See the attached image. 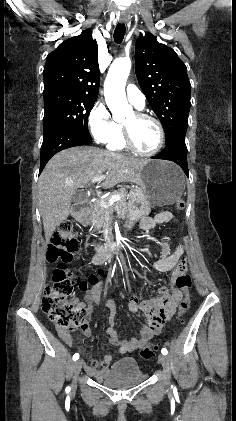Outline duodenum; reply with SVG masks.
Instances as JSON below:
<instances>
[{
	"label": "duodenum",
	"instance_id": "obj_1",
	"mask_svg": "<svg viewBox=\"0 0 236 421\" xmlns=\"http://www.w3.org/2000/svg\"><path fill=\"white\" fill-rule=\"evenodd\" d=\"M89 207H90V201L88 199L82 200V201L75 204V206L73 208V215H74V218L79 223H82V224L88 223ZM115 247H116L115 241L113 239H110L104 245V247H102L96 253L93 261L95 263H101V262L105 261L106 259H108L113 254V252L115 250ZM160 293H161V296L158 299H156L155 305H157V308L160 312L165 313V315L169 316L172 313L175 298H171L165 290H161ZM156 331H157V328H156L155 320L151 319L149 327H145L144 330H143V333H144V336L147 337V336H150V335L156 333ZM110 334H111L112 337H114V339L112 340L113 343L121 344L120 349H121L122 352L131 349L136 342V339H134L133 341H130V342L120 343L116 338V332L111 328H110ZM90 371L97 378H99L100 375H101L100 371H96L94 369H91Z\"/></svg>",
	"mask_w": 236,
	"mask_h": 421
}]
</instances>
